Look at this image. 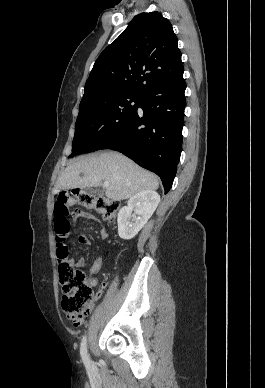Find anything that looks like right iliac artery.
Returning <instances> with one entry per match:
<instances>
[{
	"label": "right iliac artery",
	"instance_id": "right-iliac-artery-1",
	"mask_svg": "<svg viewBox=\"0 0 265 388\" xmlns=\"http://www.w3.org/2000/svg\"><path fill=\"white\" fill-rule=\"evenodd\" d=\"M80 354L81 358L85 364L86 367H90L91 362L87 353V339L86 335L82 338L81 346H80Z\"/></svg>",
	"mask_w": 265,
	"mask_h": 388
}]
</instances>
